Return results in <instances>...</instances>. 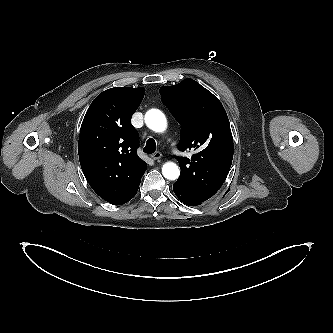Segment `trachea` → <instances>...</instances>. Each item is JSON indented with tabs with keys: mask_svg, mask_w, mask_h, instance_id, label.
<instances>
[{
	"mask_svg": "<svg viewBox=\"0 0 333 333\" xmlns=\"http://www.w3.org/2000/svg\"><path fill=\"white\" fill-rule=\"evenodd\" d=\"M156 150V143L154 139H148L143 151L147 154H152Z\"/></svg>",
	"mask_w": 333,
	"mask_h": 333,
	"instance_id": "1",
	"label": "trachea"
}]
</instances>
